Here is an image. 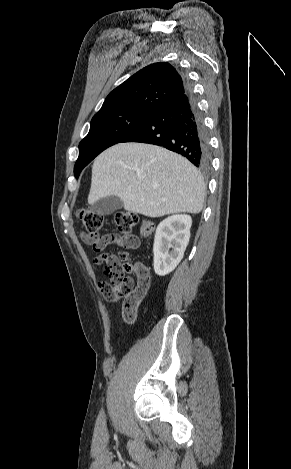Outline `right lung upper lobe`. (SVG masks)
Returning <instances> with one entry per match:
<instances>
[{"label": "right lung upper lobe", "mask_w": 291, "mask_h": 469, "mask_svg": "<svg viewBox=\"0 0 291 469\" xmlns=\"http://www.w3.org/2000/svg\"><path fill=\"white\" fill-rule=\"evenodd\" d=\"M185 89L184 77L173 66L154 63L114 89L93 118L133 109L154 112Z\"/></svg>", "instance_id": "1"}]
</instances>
